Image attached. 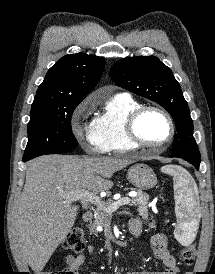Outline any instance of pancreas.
I'll list each match as a JSON object with an SVG mask.
<instances>
[{
	"mask_svg": "<svg viewBox=\"0 0 215 274\" xmlns=\"http://www.w3.org/2000/svg\"><path fill=\"white\" fill-rule=\"evenodd\" d=\"M135 190V189H132ZM112 200L108 199L104 202L103 207H97L96 213L94 214V221L89 224L90 233L96 232V228L98 226H104L105 223L110 220L111 214L106 212L104 208L109 207L112 204ZM148 202H149V195L143 193L142 191H137V196L133 198L131 205L138 206L139 214L144 218H148Z\"/></svg>",
	"mask_w": 215,
	"mask_h": 274,
	"instance_id": "cf45deb5",
	"label": "pancreas"
}]
</instances>
